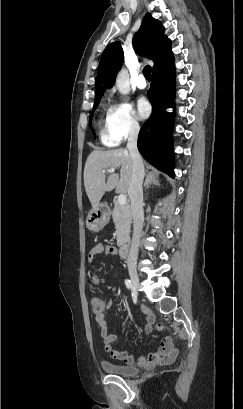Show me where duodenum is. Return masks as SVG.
<instances>
[{"label":"duodenum","instance_id":"duodenum-1","mask_svg":"<svg viewBox=\"0 0 243 409\" xmlns=\"http://www.w3.org/2000/svg\"><path fill=\"white\" fill-rule=\"evenodd\" d=\"M129 251H130L129 245H127V244H122V245L120 246V248H119V255H120L122 258H127L128 255H129Z\"/></svg>","mask_w":243,"mask_h":409}]
</instances>
